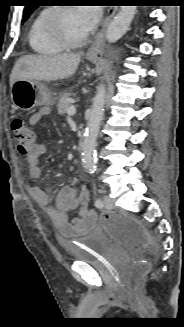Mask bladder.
<instances>
[{
    "mask_svg": "<svg viewBox=\"0 0 184 327\" xmlns=\"http://www.w3.org/2000/svg\"><path fill=\"white\" fill-rule=\"evenodd\" d=\"M76 243L65 245L66 251L76 262L94 263L112 247L110 238L100 229H94L78 238Z\"/></svg>",
    "mask_w": 184,
    "mask_h": 327,
    "instance_id": "bladder-1",
    "label": "bladder"
}]
</instances>
